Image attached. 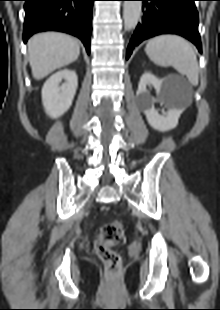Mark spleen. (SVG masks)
I'll return each instance as SVG.
<instances>
[{
	"mask_svg": "<svg viewBox=\"0 0 220 310\" xmlns=\"http://www.w3.org/2000/svg\"><path fill=\"white\" fill-rule=\"evenodd\" d=\"M145 52L155 64L174 67L196 86L199 81L198 63L192 45L177 35H160L149 40Z\"/></svg>",
	"mask_w": 220,
	"mask_h": 310,
	"instance_id": "spleen-1",
	"label": "spleen"
}]
</instances>
